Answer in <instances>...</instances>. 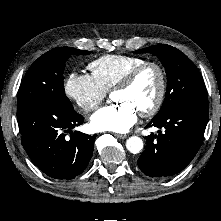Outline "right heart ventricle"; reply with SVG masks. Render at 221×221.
<instances>
[{
    "label": "right heart ventricle",
    "instance_id": "obj_1",
    "mask_svg": "<svg viewBox=\"0 0 221 221\" xmlns=\"http://www.w3.org/2000/svg\"><path fill=\"white\" fill-rule=\"evenodd\" d=\"M145 60L132 55H105L88 66L91 75L106 90H112L135 67Z\"/></svg>",
    "mask_w": 221,
    "mask_h": 221
}]
</instances>
